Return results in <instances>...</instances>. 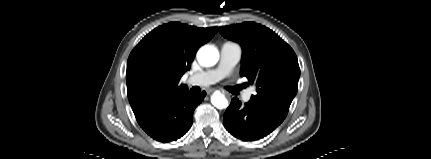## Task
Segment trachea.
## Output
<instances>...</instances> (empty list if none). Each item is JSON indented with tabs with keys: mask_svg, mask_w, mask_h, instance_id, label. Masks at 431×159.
Here are the masks:
<instances>
[{
	"mask_svg": "<svg viewBox=\"0 0 431 159\" xmlns=\"http://www.w3.org/2000/svg\"><path fill=\"white\" fill-rule=\"evenodd\" d=\"M240 89H241V87H238V88H237V90H240Z\"/></svg>",
	"mask_w": 431,
	"mask_h": 159,
	"instance_id": "1",
	"label": "trachea"
}]
</instances>
